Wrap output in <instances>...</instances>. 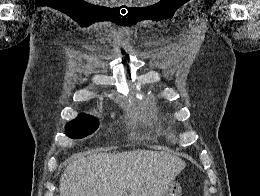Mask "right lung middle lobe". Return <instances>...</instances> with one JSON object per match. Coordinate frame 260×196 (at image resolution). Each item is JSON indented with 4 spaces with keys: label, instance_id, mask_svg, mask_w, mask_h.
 <instances>
[{
    "label": "right lung middle lobe",
    "instance_id": "right-lung-middle-lobe-1",
    "mask_svg": "<svg viewBox=\"0 0 260 196\" xmlns=\"http://www.w3.org/2000/svg\"><path fill=\"white\" fill-rule=\"evenodd\" d=\"M98 121L86 114H80L76 119L67 123L66 133L70 138L78 139L92 134L98 127Z\"/></svg>",
    "mask_w": 260,
    "mask_h": 196
}]
</instances>
